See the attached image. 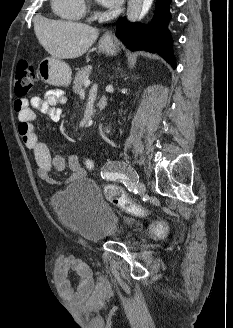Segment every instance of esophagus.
<instances>
[{
    "mask_svg": "<svg viewBox=\"0 0 233 328\" xmlns=\"http://www.w3.org/2000/svg\"><path fill=\"white\" fill-rule=\"evenodd\" d=\"M105 36H106V37H111V32H107V33L105 34Z\"/></svg>",
    "mask_w": 233,
    "mask_h": 328,
    "instance_id": "1",
    "label": "esophagus"
}]
</instances>
